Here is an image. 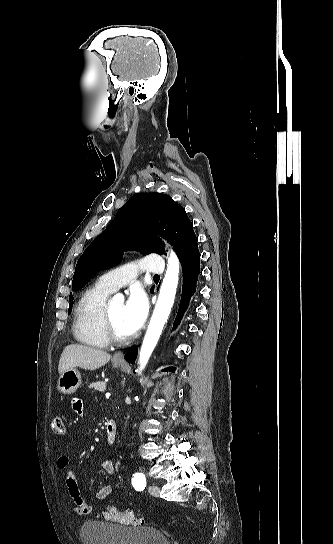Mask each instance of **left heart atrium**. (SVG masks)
<instances>
[{
    "instance_id": "39dd6f15",
    "label": "left heart atrium",
    "mask_w": 333,
    "mask_h": 544,
    "mask_svg": "<svg viewBox=\"0 0 333 544\" xmlns=\"http://www.w3.org/2000/svg\"><path fill=\"white\" fill-rule=\"evenodd\" d=\"M148 310L149 304L144 291L139 288L132 290L123 308V323L130 334L143 326Z\"/></svg>"
}]
</instances>
